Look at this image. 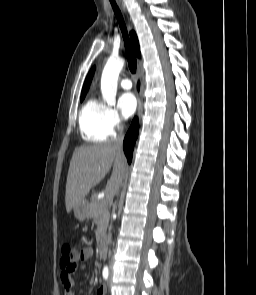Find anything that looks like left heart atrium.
<instances>
[{"mask_svg": "<svg viewBox=\"0 0 256 295\" xmlns=\"http://www.w3.org/2000/svg\"><path fill=\"white\" fill-rule=\"evenodd\" d=\"M136 107H137V101L135 96L132 93L127 92L120 96L119 108H120L122 116L125 119L131 117L135 113Z\"/></svg>", "mask_w": 256, "mask_h": 295, "instance_id": "left-heart-atrium-1", "label": "left heart atrium"}]
</instances>
